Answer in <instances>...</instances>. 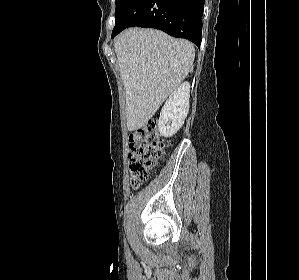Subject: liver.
Instances as JSON below:
<instances>
[{"label":"liver","instance_id":"6515ba94","mask_svg":"<svg viewBox=\"0 0 299 280\" xmlns=\"http://www.w3.org/2000/svg\"><path fill=\"white\" fill-rule=\"evenodd\" d=\"M129 131L144 126L188 75L194 45L154 29L130 28L115 41Z\"/></svg>","mask_w":299,"mask_h":280}]
</instances>
